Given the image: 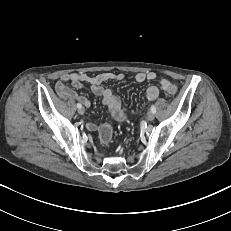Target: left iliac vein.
I'll return each instance as SVG.
<instances>
[{
    "label": "left iliac vein",
    "mask_w": 231,
    "mask_h": 231,
    "mask_svg": "<svg viewBox=\"0 0 231 231\" xmlns=\"http://www.w3.org/2000/svg\"><path fill=\"white\" fill-rule=\"evenodd\" d=\"M147 118H148L149 121H153L154 118H155L154 113L150 112V113L148 114V117H147Z\"/></svg>",
    "instance_id": "left-iliac-vein-1"
}]
</instances>
